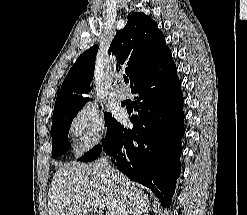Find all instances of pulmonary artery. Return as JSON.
<instances>
[{
    "instance_id": "pulmonary-artery-1",
    "label": "pulmonary artery",
    "mask_w": 247,
    "mask_h": 215,
    "mask_svg": "<svg viewBox=\"0 0 247 215\" xmlns=\"http://www.w3.org/2000/svg\"><path fill=\"white\" fill-rule=\"evenodd\" d=\"M114 97L119 100V101H123L126 99L127 97V93L123 87V83H120L117 85L116 89L114 90Z\"/></svg>"
}]
</instances>
